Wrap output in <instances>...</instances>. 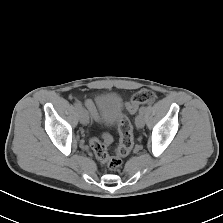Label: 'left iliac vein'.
Listing matches in <instances>:
<instances>
[{"label": "left iliac vein", "mask_w": 223, "mask_h": 223, "mask_svg": "<svg viewBox=\"0 0 223 223\" xmlns=\"http://www.w3.org/2000/svg\"><path fill=\"white\" fill-rule=\"evenodd\" d=\"M144 117H143V114H138L136 117H135V125L137 126V128H143L144 127Z\"/></svg>", "instance_id": "obj_1"}]
</instances>
